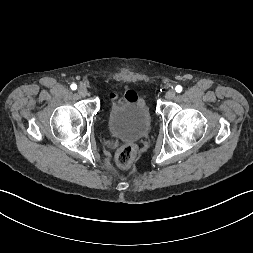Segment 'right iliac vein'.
Returning <instances> with one entry per match:
<instances>
[{
	"label": "right iliac vein",
	"instance_id": "obj_1",
	"mask_svg": "<svg viewBox=\"0 0 253 253\" xmlns=\"http://www.w3.org/2000/svg\"><path fill=\"white\" fill-rule=\"evenodd\" d=\"M78 94H79L80 96H82V97L87 96L88 91H87L86 87L80 86V87L78 88Z\"/></svg>",
	"mask_w": 253,
	"mask_h": 253
}]
</instances>
